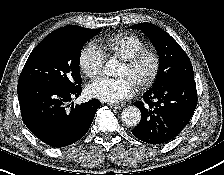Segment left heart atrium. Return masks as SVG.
I'll use <instances>...</instances> for the list:
<instances>
[{
    "label": "left heart atrium",
    "instance_id": "left-heart-atrium-1",
    "mask_svg": "<svg viewBox=\"0 0 224 175\" xmlns=\"http://www.w3.org/2000/svg\"><path fill=\"white\" fill-rule=\"evenodd\" d=\"M134 90L135 84L127 76L119 78L102 77L88 86V92L91 96L111 103L131 97Z\"/></svg>",
    "mask_w": 224,
    "mask_h": 175
}]
</instances>
